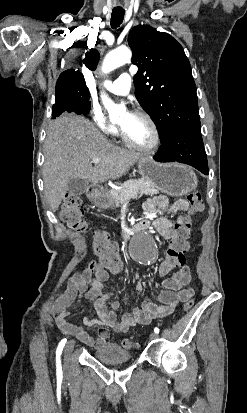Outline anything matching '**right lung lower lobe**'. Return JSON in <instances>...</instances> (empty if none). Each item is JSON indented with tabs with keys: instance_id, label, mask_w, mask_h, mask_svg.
<instances>
[{
	"instance_id": "right-lung-lower-lobe-1",
	"label": "right lung lower lobe",
	"mask_w": 247,
	"mask_h": 413,
	"mask_svg": "<svg viewBox=\"0 0 247 413\" xmlns=\"http://www.w3.org/2000/svg\"><path fill=\"white\" fill-rule=\"evenodd\" d=\"M89 111L90 110H86L82 104L73 99H57L53 106L52 119H55L63 112H74L79 115H86Z\"/></svg>"
}]
</instances>
